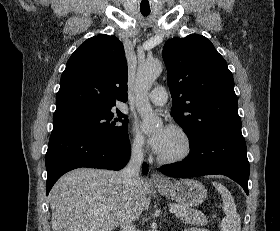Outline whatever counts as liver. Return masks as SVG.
I'll use <instances>...</instances> for the list:
<instances>
[{"mask_svg":"<svg viewBox=\"0 0 280 231\" xmlns=\"http://www.w3.org/2000/svg\"><path fill=\"white\" fill-rule=\"evenodd\" d=\"M49 197L53 231H112L123 219H139L150 203L141 177L124 183L121 171L90 167L62 175Z\"/></svg>","mask_w":280,"mask_h":231,"instance_id":"obj_1","label":"liver"}]
</instances>
